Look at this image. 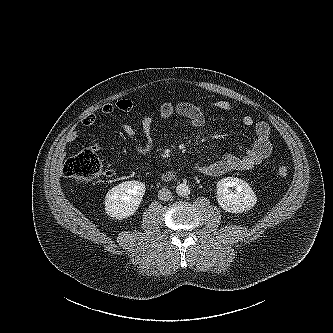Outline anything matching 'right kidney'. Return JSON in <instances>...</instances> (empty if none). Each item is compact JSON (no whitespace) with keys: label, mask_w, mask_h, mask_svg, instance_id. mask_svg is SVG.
Here are the masks:
<instances>
[{"label":"right kidney","mask_w":333,"mask_h":333,"mask_svg":"<svg viewBox=\"0 0 333 333\" xmlns=\"http://www.w3.org/2000/svg\"><path fill=\"white\" fill-rule=\"evenodd\" d=\"M145 189L144 183L135 180L113 187L105 197L106 214L119 220L132 216L142 202Z\"/></svg>","instance_id":"1"}]
</instances>
